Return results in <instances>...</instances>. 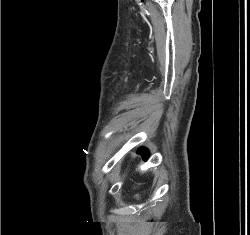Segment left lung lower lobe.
Listing matches in <instances>:
<instances>
[{
	"instance_id": "obj_1",
	"label": "left lung lower lobe",
	"mask_w": 250,
	"mask_h": 235,
	"mask_svg": "<svg viewBox=\"0 0 250 235\" xmlns=\"http://www.w3.org/2000/svg\"><path fill=\"white\" fill-rule=\"evenodd\" d=\"M138 153L142 155L143 159L144 160H147L148 157H149V152L146 148L144 147H141L139 150H138Z\"/></svg>"
}]
</instances>
